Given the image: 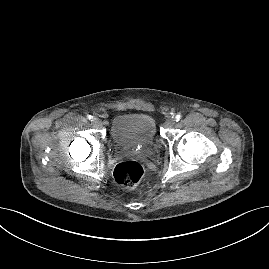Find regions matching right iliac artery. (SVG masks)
I'll return each mask as SVG.
<instances>
[{
	"instance_id": "82829eb1",
	"label": "right iliac artery",
	"mask_w": 269,
	"mask_h": 269,
	"mask_svg": "<svg viewBox=\"0 0 269 269\" xmlns=\"http://www.w3.org/2000/svg\"><path fill=\"white\" fill-rule=\"evenodd\" d=\"M88 119H89V120H93V116L89 115V116H88Z\"/></svg>"
}]
</instances>
